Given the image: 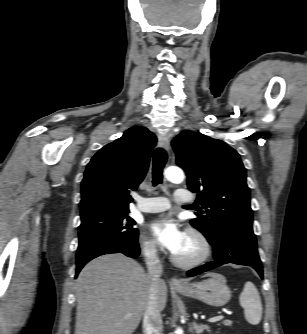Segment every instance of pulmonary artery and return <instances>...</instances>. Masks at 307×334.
<instances>
[{
  "mask_svg": "<svg viewBox=\"0 0 307 334\" xmlns=\"http://www.w3.org/2000/svg\"><path fill=\"white\" fill-rule=\"evenodd\" d=\"M186 189H177L174 193V199L178 202H191L193 198L188 196ZM170 207L168 198L164 196H154L149 198H137L138 210L145 213H156L167 210Z\"/></svg>",
  "mask_w": 307,
  "mask_h": 334,
  "instance_id": "obj_1",
  "label": "pulmonary artery"
}]
</instances>
